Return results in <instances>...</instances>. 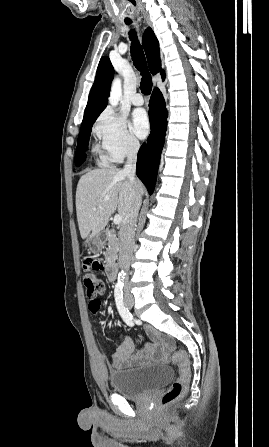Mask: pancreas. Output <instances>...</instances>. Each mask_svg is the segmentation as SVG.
<instances>
[{
    "instance_id": "pancreas-1",
    "label": "pancreas",
    "mask_w": 269,
    "mask_h": 447,
    "mask_svg": "<svg viewBox=\"0 0 269 447\" xmlns=\"http://www.w3.org/2000/svg\"><path fill=\"white\" fill-rule=\"evenodd\" d=\"M109 231V229H107ZM108 247H106L105 261L106 267H111L112 263H115L119 251V239L116 233H108Z\"/></svg>"
}]
</instances>
